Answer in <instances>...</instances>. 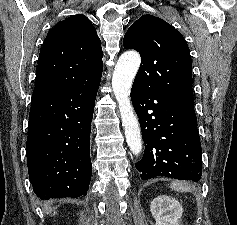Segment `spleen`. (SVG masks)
<instances>
[{
	"mask_svg": "<svg viewBox=\"0 0 237 225\" xmlns=\"http://www.w3.org/2000/svg\"><path fill=\"white\" fill-rule=\"evenodd\" d=\"M170 187L178 192H190L192 190L191 186L179 181L172 182L170 184Z\"/></svg>",
	"mask_w": 237,
	"mask_h": 225,
	"instance_id": "obj_1",
	"label": "spleen"
}]
</instances>
